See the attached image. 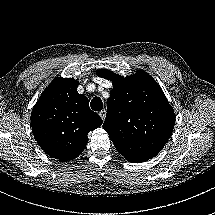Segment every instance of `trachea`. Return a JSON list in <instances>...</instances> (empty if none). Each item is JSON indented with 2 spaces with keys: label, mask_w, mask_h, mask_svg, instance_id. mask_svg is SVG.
<instances>
[{
  "label": "trachea",
  "mask_w": 215,
  "mask_h": 215,
  "mask_svg": "<svg viewBox=\"0 0 215 215\" xmlns=\"http://www.w3.org/2000/svg\"><path fill=\"white\" fill-rule=\"evenodd\" d=\"M91 108L94 111H100V110H102V108H103L102 100L99 97H94L91 100Z\"/></svg>",
  "instance_id": "1"
}]
</instances>
